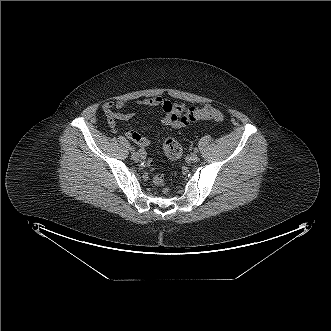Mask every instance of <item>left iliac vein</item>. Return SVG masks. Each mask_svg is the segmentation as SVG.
<instances>
[{
	"instance_id": "left-iliac-vein-1",
	"label": "left iliac vein",
	"mask_w": 331,
	"mask_h": 331,
	"mask_svg": "<svg viewBox=\"0 0 331 331\" xmlns=\"http://www.w3.org/2000/svg\"><path fill=\"white\" fill-rule=\"evenodd\" d=\"M190 160L192 162H197L199 160V156L196 153L190 155Z\"/></svg>"
}]
</instances>
